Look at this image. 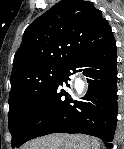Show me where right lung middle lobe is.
Instances as JSON below:
<instances>
[{
  "mask_svg": "<svg viewBox=\"0 0 124 149\" xmlns=\"http://www.w3.org/2000/svg\"><path fill=\"white\" fill-rule=\"evenodd\" d=\"M63 68L45 67L21 78L9 94L8 126L12 148L18 144L25 128L40 104L56 83Z\"/></svg>",
  "mask_w": 124,
  "mask_h": 149,
  "instance_id": "dd1d6c3e",
  "label": "right lung middle lobe"
}]
</instances>
